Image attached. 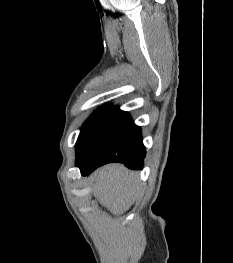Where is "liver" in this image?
<instances>
[{
	"mask_svg": "<svg viewBox=\"0 0 233 263\" xmlns=\"http://www.w3.org/2000/svg\"><path fill=\"white\" fill-rule=\"evenodd\" d=\"M141 191L138 174L121 164H108L94 175L93 194L113 215L126 212Z\"/></svg>",
	"mask_w": 233,
	"mask_h": 263,
	"instance_id": "liver-1",
	"label": "liver"
}]
</instances>
